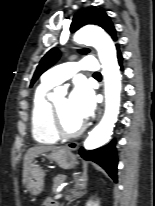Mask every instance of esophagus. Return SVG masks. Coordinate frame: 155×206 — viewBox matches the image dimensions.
Masks as SVG:
<instances>
[{"mask_svg": "<svg viewBox=\"0 0 155 206\" xmlns=\"http://www.w3.org/2000/svg\"><path fill=\"white\" fill-rule=\"evenodd\" d=\"M103 104L101 105V108L99 110V113H98V120L100 119L101 115H102V109H103ZM78 147V144L76 142H69L66 144V148L69 149V150H75L77 149Z\"/></svg>", "mask_w": 155, "mask_h": 206, "instance_id": "obj_1", "label": "esophagus"}]
</instances>
